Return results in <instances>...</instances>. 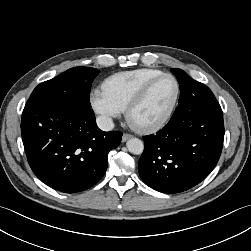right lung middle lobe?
Segmentation results:
<instances>
[{
  "label": "right lung middle lobe",
  "mask_w": 251,
  "mask_h": 251,
  "mask_svg": "<svg viewBox=\"0 0 251 251\" xmlns=\"http://www.w3.org/2000/svg\"><path fill=\"white\" fill-rule=\"evenodd\" d=\"M99 70L92 67L68 69L57 77L39 84L29 100H42L64 108L91 109L90 88Z\"/></svg>",
  "instance_id": "dd1d6c3e"
}]
</instances>
